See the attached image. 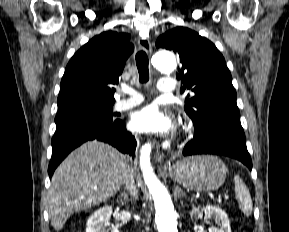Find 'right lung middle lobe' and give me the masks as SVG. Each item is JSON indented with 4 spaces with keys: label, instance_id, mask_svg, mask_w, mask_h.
Wrapping results in <instances>:
<instances>
[{
    "label": "right lung middle lobe",
    "instance_id": "right-lung-middle-lobe-1",
    "mask_svg": "<svg viewBox=\"0 0 289 232\" xmlns=\"http://www.w3.org/2000/svg\"><path fill=\"white\" fill-rule=\"evenodd\" d=\"M113 105H80L62 108L55 117L57 126L70 123H113Z\"/></svg>",
    "mask_w": 289,
    "mask_h": 232
}]
</instances>
